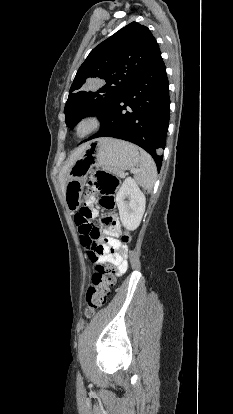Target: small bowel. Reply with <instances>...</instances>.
Returning <instances> with one entry per match:
<instances>
[{
	"label": "small bowel",
	"instance_id": "1",
	"mask_svg": "<svg viewBox=\"0 0 233 414\" xmlns=\"http://www.w3.org/2000/svg\"><path fill=\"white\" fill-rule=\"evenodd\" d=\"M94 197L90 196L87 199V207L91 211V218L96 216V210L93 208ZM103 222L107 227L104 229L103 234L108 237L106 245V253L99 255L97 262L108 263L116 269L117 275L124 274L128 269L126 251L121 252L122 245L118 239L122 234V228L117 215L107 214L103 216ZM110 250L114 251V254H109ZM90 253V252H89Z\"/></svg>",
	"mask_w": 233,
	"mask_h": 414
}]
</instances>
